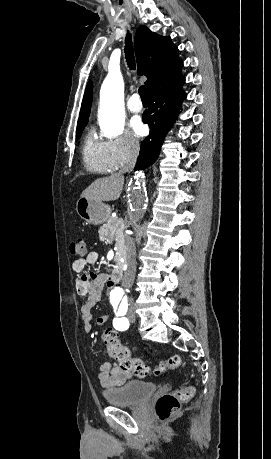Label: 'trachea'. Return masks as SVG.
I'll return each instance as SVG.
<instances>
[{"mask_svg":"<svg viewBox=\"0 0 271 459\" xmlns=\"http://www.w3.org/2000/svg\"><path fill=\"white\" fill-rule=\"evenodd\" d=\"M125 42H126V46H125L126 61L128 63V67L133 70L135 69V58H134L133 43L131 40L130 33H127ZM138 92H139L142 102H148L149 100L148 94H147L146 87L144 85L139 87Z\"/></svg>","mask_w":271,"mask_h":459,"instance_id":"3493384b","label":"trachea"}]
</instances>
